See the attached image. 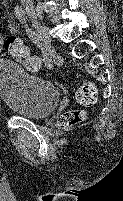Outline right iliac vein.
Segmentation results:
<instances>
[{"mask_svg":"<svg viewBox=\"0 0 123 201\" xmlns=\"http://www.w3.org/2000/svg\"><path fill=\"white\" fill-rule=\"evenodd\" d=\"M27 11L29 14V17L33 23V26L35 27V29L39 32V34L42 36L43 38V42L44 44L48 47L51 48V38L48 32V29L46 26H44L38 19L35 11L32 9V7H27Z\"/></svg>","mask_w":123,"mask_h":201,"instance_id":"63e3f726","label":"right iliac vein"}]
</instances>
